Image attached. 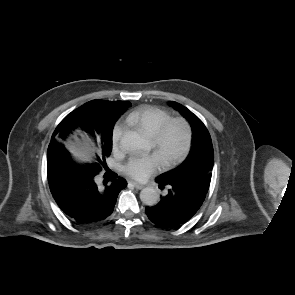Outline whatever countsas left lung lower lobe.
Returning a JSON list of instances; mask_svg holds the SVG:
<instances>
[{"mask_svg": "<svg viewBox=\"0 0 295 295\" xmlns=\"http://www.w3.org/2000/svg\"><path fill=\"white\" fill-rule=\"evenodd\" d=\"M160 189L166 186L168 194L161 197L160 202L152 207H146L148 218L164 228L178 227L199 210L206 197V185L190 187L175 181L163 182L156 179ZM198 189V190H197Z\"/></svg>", "mask_w": 295, "mask_h": 295, "instance_id": "left-lung-lower-lobe-1", "label": "left lung lower lobe"}]
</instances>
